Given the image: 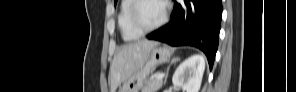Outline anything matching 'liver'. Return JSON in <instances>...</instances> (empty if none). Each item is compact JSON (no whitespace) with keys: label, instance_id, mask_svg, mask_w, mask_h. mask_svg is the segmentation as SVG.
Returning <instances> with one entry per match:
<instances>
[{"label":"liver","instance_id":"1","mask_svg":"<svg viewBox=\"0 0 296 92\" xmlns=\"http://www.w3.org/2000/svg\"><path fill=\"white\" fill-rule=\"evenodd\" d=\"M158 42L141 40L123 45L114 55L110 66L111 91L124 83L135 71L147 61L153 47Z\"/></svg>","mask_w":296,"mask_h":92}]
</instances>
